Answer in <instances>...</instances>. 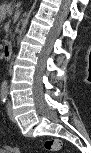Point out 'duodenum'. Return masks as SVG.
I'll use <instances>...</instances> for the list:
<instances>
[{
	"instance_id": "obj_1",
	"label": "duodenum",
	"mask_w": 91,
	"mask_h": 153,
	"mask_svg": "<svg viewBox=\"0 0 91 153\" xmlns=\"http://www.w3.org/2000/svg\"><path fill=\"white\" fill-rule=\"evenodd\" d=\"M13 47L11 43H6L3 47V58L9 61L12 55Z\"/></svg>"
}]
</instances>
